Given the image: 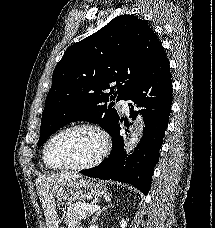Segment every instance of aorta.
Wrapping results in <instances>:
<instances>
[{
	"label": "aorta",
	"instance_id": "762f6f07",
	"mask_svg": "<svg viewBox=\"0 0 215 228\" xmlns=\"http://www.w3.org/2000/svg\"><path fill=\"white\" fill-rule=\"evenodd\" d=\"M142 136H143V118H141V116H138L132 128V132L128 138V142L125 150L126 154H129L130 150H132V148H135V146H137Z\"/></svg>",
	"mask_w": 215,
	"mask_h": 228
}]
</instances>
